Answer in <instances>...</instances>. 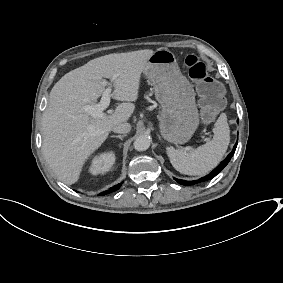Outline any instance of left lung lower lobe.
Masks as SVG:
<instances>
[{
	"label": "left lung lower lobe",
	"instance_id": "obj_1",
	"mask_svg": "<svg viewBox=\"0 0 283 283\" xmlns=\"http://www.w3.org/2000/svg\"><path fill=\"white\" fill-rule=\"evenodd\" d=\"M237 147V142L234 145V148L232 150V152L227 156V158L225 160H223L220 165H218L210 174L206 175L205 177H202L198 180H193V181H186V180H180V179H176L174 178L179 184L181 185H194L197 183H201V182H205L208 181L210 179H212L213 177H215L219 172H221L223 170V168L228 164V162L230 161V159L232 158V156L234 155V152L236 150Z\"/></svg>",
	"mask_w": 283,
	"mask_h": 283
}]
</instances>
